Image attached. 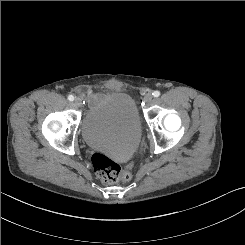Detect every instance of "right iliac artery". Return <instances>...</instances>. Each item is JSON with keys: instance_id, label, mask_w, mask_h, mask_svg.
Here are the masks:
<instances>
[{"instance_id": "82829eb1", "label": "right iliac artery", "mask_w": 245, "mask_h": 245, "mask_svg": "<svg viewBox=\"0 0 245 245\" xmlns=\"http://www.w3.org/2000/svg\"><path fill=\"white\" fill-rule=\"evenodd\" d=\"M68 100L73 101L74 100V96L73 95H69L68 96Z\"/></svg>"}]
</instances>
